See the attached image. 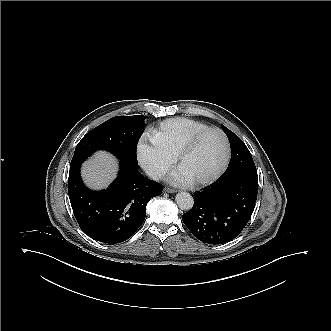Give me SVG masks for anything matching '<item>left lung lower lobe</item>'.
<instances>
[{"label": "left lung lower lobe", "instance_id": "obj_1", "mask_svg": "<svg viewBox=\"0 0 331 331\" xmlns=\"http://www.w3.org/2000/svg\"><path fill=\"white\" fill-rule=\"evenodd\" d=\"M258 176L238 173L194 194L193 208L182 220L191 233L208 244L236 238L248 223L256 203Z\"/></svg>", "mask_w": 331, "mask_h": 331}]
</instances>
